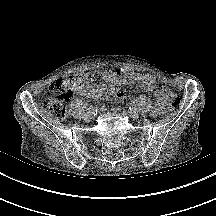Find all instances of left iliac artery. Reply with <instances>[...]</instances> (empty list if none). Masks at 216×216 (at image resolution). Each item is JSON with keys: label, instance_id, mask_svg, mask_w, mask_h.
<instances>
[{"label": "left iliac artery", "instance_id": "44dca946", "mask_svg": "<svg viewBox=\"0 0 216 216\" xmlns=\"http://www.w3.org/2000/svg\"><path fill=\"white\" fill-rule=\"evenodd\" d=\"M129 110H130V111H136V106H135L134 104H131V105L129 106Z\"/></svg>", "mask_w": 216, "mask_h": 216}]
</instances>
